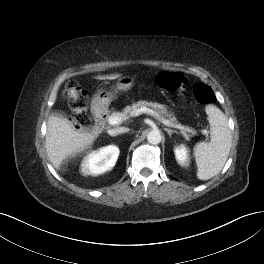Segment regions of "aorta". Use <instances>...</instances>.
<instances>
[{
    "label": "aorta",
    "mask_w": 264,
    "mask_h": 264,
    "mask_svg": "<svg viewBox=\"0 0 264 264\" xmlns=\"http://www.w3.org/2000/svg\"><path fill=\"white\" fill-rule=\"evenodd\" d=\"M162 136L158 130H151L147 135V141L152 145H157L161 142Z\"/></svg>",
    "instance_id": "1"
}]
</instances>
